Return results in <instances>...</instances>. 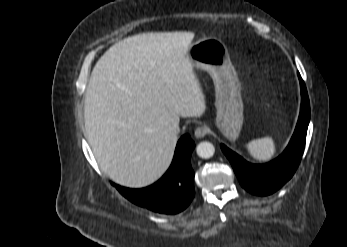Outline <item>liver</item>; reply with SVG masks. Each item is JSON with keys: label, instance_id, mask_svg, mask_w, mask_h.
<instances>
[{"label": "liver", "instance_id": "6515ba94", "mask_svg": "<svg viewBox=\"0 0 347 247\" xmlns=\"http://www.w3.org/2000/svg\"><path fill=\"white\" fill-rule=\"evenodd\" d=\"M192 32H150L111 46L95 64L84 120L101 170L142 188L169 167L180 117L200 116L205 96L187 57Z\"/></svg>", "mask_w": 347, "mask_h": 247}]
</instances>
